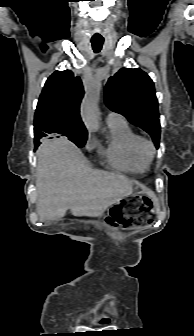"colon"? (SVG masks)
Segmentation results:
<instances>
[{"mask_svg":"<svg viewBox=\"0 0 194 336\" xmlns=\"http://www.w3.org/2000/svg\"><path fill=\"white\" fill-rule=\"evenodd\" d=\"M150 208V201L147 197L129 198L116 207L107 222L112 225H129L140 222L139 213Z\"/></svg>","mask_w":194,"mask_h":336,"instance_id":"colon-1","label":"colon"}]
</instances>
